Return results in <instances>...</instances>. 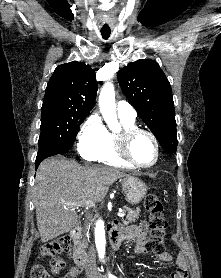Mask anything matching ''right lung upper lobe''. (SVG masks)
Listing matches in <instances>:
<instances>
[{
    "instance_id": "right-lung-upper-lobe-1",
    "label": "right lung upper lobe",
    "mask_w": 221,
    "mask_h": 278,
    "mask_svg": "<svg viewBox=\"0 0 221 278\" xmlns=\"http://www.w3.org/2000/svg\"><path fill=\"white\" fill-rule=\"evenodd\" d=\"M97 89L95 70L90 66L77 61L59 65L48 82L42 112L89 114Z\"/></svg>"
}]
</instances>
